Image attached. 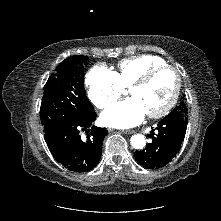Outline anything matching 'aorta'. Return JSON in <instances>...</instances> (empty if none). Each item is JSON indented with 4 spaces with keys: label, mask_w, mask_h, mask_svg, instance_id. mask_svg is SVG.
Segmentation results:
<instances>
[{
    "label": "aorta",
    "mask_w": 221,
    "mask_h": 221,
    "mask_svg": "<svg viewBox=\"0 0 221 221\" xmlns=\"http://www.w3.org/2000/svg\"><path fill=\"white\" fill-rule=\"evenodd\" d=\"M145 143V137L142 134H135L131 137V145L135 149H142Z\"/></svg>",
    "instance_id": "1"
}]
</instances>
